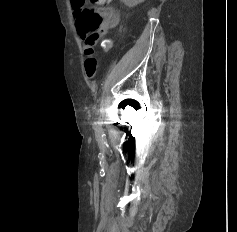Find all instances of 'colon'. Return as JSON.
<instances>
[{"label":"colon","instance_id":"1","mask_svg":"<svg viewBox=\"0 0 237 232\" xmlns=\"http://www.w3.org/2000/svg\"><path fill=\"white\" fill-rule=\"evenodd\" d=\"M91 2L106 5L110 0H91ZM71 4L75 14L76 26L82 38L91 45L103 39L101 15L95 9L88 7L86 0H71ZM110 13L111 11L108 10L107 14ZM108 44V41L103 42L105 46Z\"/></svg>","mask_w":237,"mask_h":232}]
</instances>
